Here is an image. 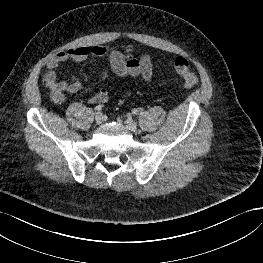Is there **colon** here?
Wrapping results in <instances>:
<instances>
[{
  "mask_svg": "<svg viewBox=\"0 0 263 263\" xmlns=\"http://www.w3.org/2000/svg\"><path fill=\"white\" fill-rule=\"evenodd\" d=\"M168 64L172 66L175 72L181 77L186 87L191 88L197 85L198 78L185 58L177 57L170 59Z\"/></svg>",
  "mask_w": 263,
  "mask_h": 263,
  "instance_id": "1",
  "label": "colon"
}]
</instances>
